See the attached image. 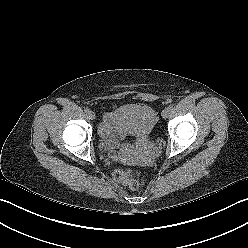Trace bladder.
<instances>
[{
    "instance_id": "bladder-1",
    "label": "bladder",
    "mask_w": 248,
    "mask_h": 248,
    "mask_svg": "<svg viewBox=\"0 0 248 248\" xmlns=\"http://www.w3.org/2000/svg\"><path fill=\"white\" fill-rule=\"evenodd\" d=\"M115 113L120 126L136 139L150 136L157 122L155 111L148 105L127 104L118 108ZM100 146L110 152L117 150L119 144L114 140L102 138Z\"/></svg>"
}]
</instances>
